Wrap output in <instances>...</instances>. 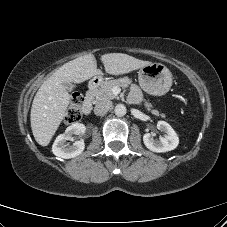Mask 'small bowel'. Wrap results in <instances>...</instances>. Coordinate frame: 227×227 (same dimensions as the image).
Wrapping results in <instances>:
<instances>
[{
	"label": "small bowel",
	"instance_id": "1",
	"mask_svg": "<svg viewBox=\"0 0 227 227\" xmlns=\"http://www.w3.org/2000/svg\"><path fill=\"white\" fill-rule=\"evenodd\" d=\"M131 97L133 101H138L140 99V92L136 87L133 88Z\"/></svg>",
	"mask_w": 227,
	"mask_h": 227
}]
</instances>
